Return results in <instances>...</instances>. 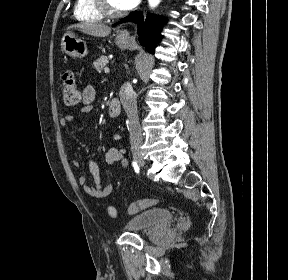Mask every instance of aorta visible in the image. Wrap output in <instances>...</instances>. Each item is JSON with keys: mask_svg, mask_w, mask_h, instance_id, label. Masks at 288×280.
<instances>
[{"mask_svg": "<svg viewBox=\"0 0 288 280\" xmlns=\"http://www.w3.org/2000/svg\"><path fill=\"white\" fill-rule=\"evenodd\" d=\"M160 1H161V0H148L149 6H150L151 8H155V7H157V6L159 5Z\"/></svg>", "mask_w": 288, "mask_h": 280, "instance_id": "762f6f07", "label": "aorta"}]
</instances>
